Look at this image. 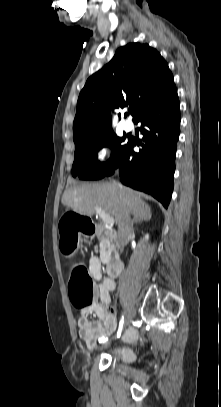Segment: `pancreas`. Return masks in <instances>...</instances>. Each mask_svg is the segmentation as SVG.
<instances>
[{
    "mask_svg": "<svg viewBox=\"0 0 221 407\" xmlns=\"http://www.w3.org/2000/svg\"><path fill=\"white\" fill-rule=\"evenodd\" d=\"M114 249V236L110 230L105 229L103 236L100 238V258L103 263H108Z\"/></svg>",
    "mask_w": 221,
    "mask_h": 407,
    "instance_id": "pancreas-1",
    "label": "pancreas"
}]
</instances>
